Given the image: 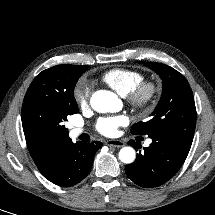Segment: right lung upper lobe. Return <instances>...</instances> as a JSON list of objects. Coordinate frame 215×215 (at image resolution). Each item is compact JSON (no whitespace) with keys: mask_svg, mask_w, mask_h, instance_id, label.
Instances as JSON below:
<instances>
[{"mask_svg":"<svg viewBox=\"0 0 215 215\" xmlns=\"http://www.w3.org/2000/svg\"><path fill=\"white\" fill-rule=\"evenodd\" d=\"M23 131L29 152L40 172L45 176L52 172L55 158L62 146L70 141L69 136L43 138L23 124Z\"/></svg>","mask_w":215,"mask_h":215,"instance_id":"right-lung-upper-lobe-1","label":"right lung upper lobe"}]
</instances>
